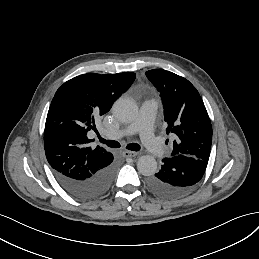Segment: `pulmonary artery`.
I'll return each instance as SVG.
<instances>
[{
  "mask_svg": "<svg viewBox=\"0 0 259 259\" xmlns=\"http://www.w3.org/2000/svg\"><path fill=\"white\" fill-rule=\"evenodd\" d=\"M160 106V99L153 98L146 100L141 105L138 113L134 119H146L150 114L155 115ZM132 120H129L124 123V127L119 130H106L101 133V137L104 139H119L126 134H131L133 132Z\"/></svg>",
  "mask_w": 259,
  "mask_h": 259,
  "instance_id": "pulmonary-artery-1",
  "label": "pulmonary artery"
}]
</instances>
